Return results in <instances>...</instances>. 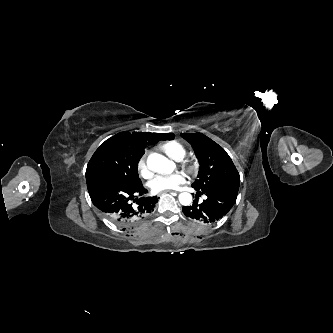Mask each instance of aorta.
Instances as JSON below:
<instances>
[{"mask_svg":"<svg viewBox=\"0 0 333 333\" xmlns=\"http://www.w3.org/2000/svg\"><path fill=\"white\" fill-rule=\"evenodd\" d=\"M149 169L157 173H172L175 169V163L166 157L153 153L147 159ZM179 201L182 205L188 206L192 201L190 193L184 192L179 195Z\"/></svg>","mask_w":333,"mask_h":333,"instance_id":"1","label":"aorta"}]
</instances>
